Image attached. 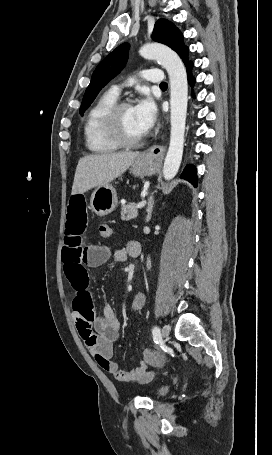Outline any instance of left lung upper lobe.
Wrapping results in <instances>:
<instances>
[{"mask_svg": "<svg viewBox=\"0 0 272 455\" xmlns=\"http://www.w3.org/2000/svg\"><path fill=\"white\" fill-rule=\"evenodd\" d=\"M152 38L176 51L182 60L188 59V48L183 43V35L170 21L159 19L155 23ZM128 48L127 43L121 44L98 64L84 94L80 107L81 115L99 91L124 68L128 58Z\"/></svg>", "mask_w": 272, "mask_h": 455, "instance_id": "5c2ea615", "label": "left lung upper lobe"}]
</instances>
